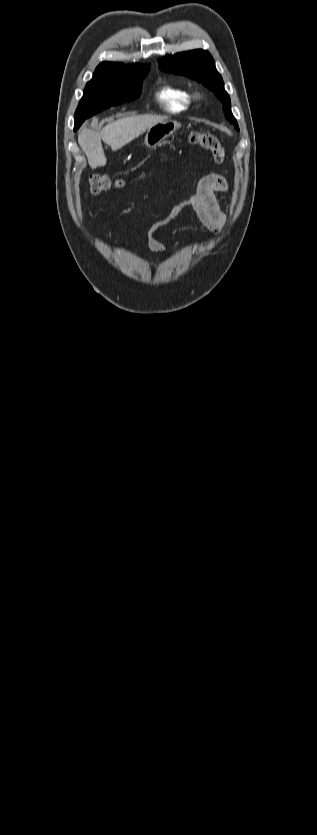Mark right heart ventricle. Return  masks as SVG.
<instances>
[{
    "mask_svg": "<svg viewBox=\"0 0 317 835\" xmlns=\"http://www.w3.org/2000/svg\"><path fill=\"white\" fill-rule=\"evenodd\" d=\"M156 98L162 107L171 113L189 109L192 99L186 87L172 82L161 85L156 92Z\"/></svg>",
    "mask_w": 317,
    "mask_h": 835,
    "instance_id": "1",
    "label": "right heart ventricle"
}]
</instances>
